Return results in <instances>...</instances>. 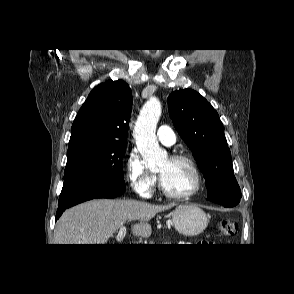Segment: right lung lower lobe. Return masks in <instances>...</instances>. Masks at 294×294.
Listing matches in <instances>:
<instances>
[{
    "label": "right lung lower lobe",
    "instance_id": "98d812e1",
    "mask_svg": "<svg viewBox=\"0 0 294 294\" xmlns=\"http://www.w3.org/2000/svg\"><path fill=\"white\" fill-rule=\"evenodd\" d=\"M125 185L103 182H87L62 190L56 219L67 209L79 203L95 198H115L123 194Z\"/></svg>",
    "mask_w": 294,
    "mask_h": 294
}]
</instances>
